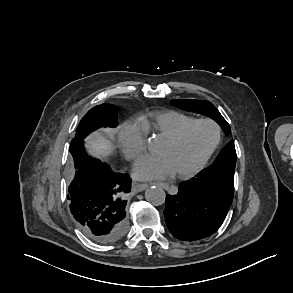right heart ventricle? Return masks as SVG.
<instances>
[{"mask_svg": "<svg viewBox=\"0 0 293 293\" xmlns=\"http://www.w3.org/2000/svg\"><path fill=\"white\" fill-rule=\"evenodd\" d=\"M196 118L183 112L174 110L155 111L140 118L139 124L148 131L154 130L162 138H166L178 131L185 124Z\"/></svg>", "mask_w": 293, "mask_h": 293, "instance_id": "obj_1", "label": "right heart ventricle"}]
</instances>
